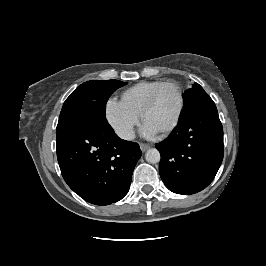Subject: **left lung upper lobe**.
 Returning a JSON list of instances; mask_svg holds the SVG:
<instances>
[{
	"mask_svg": "<svg viewBox=\"0 0 266 266\" xmlns=\"http://www.w3.org/2000/svg\"><path fill=\"white\" fill-rule=\"evenodd\" d=\"M207 96L209 95L203 90V88L198 83H196L192 88L188 89L184 94L185 110L188 109L195 102Z\"/></svg>",
	"mask_w": 266,
	"mask_h": 266,
	"instance_id": "obj_1",
	"label": "left lung upper lobe"
}]
</instances>
